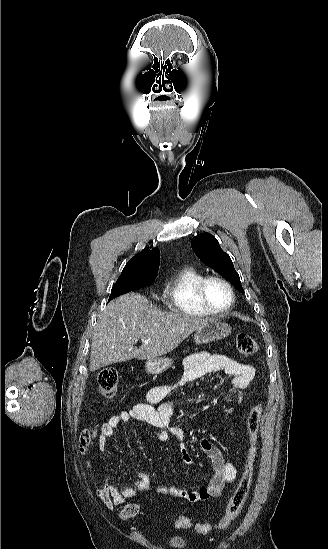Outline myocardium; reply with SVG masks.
<instances>
[{"label":"myocardium","instance_id":"f54148a6","mask_svg":"<svg viewBox=\"0 0 328 549\" xmlns=\"http://www.w3.org/2000/svg\"><path fill=\"white\" fill-rule=\"evenodd\" d=\"M212 282H219L225 285L230 293V302L228 306L221 311L213 310L207 306L209 304L207 300V289ZM197 297L200 302V304L196 306L198 311L206 316L213 318H223L229 315L233 310L236 302V292L234 286L228 279L220 275H208L203 278L197 288Z\"/></svg>","mask_w":328,"mask_h":549}]
</instances>
